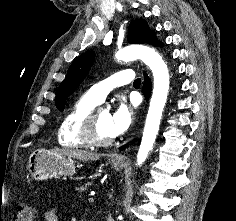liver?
<instances>
[{"mask_svg":"<svg viewBox=\"0 0 236 221\" xmlns=\"http://www.w3.org/2000/svg\"><path fill=\"white\" fill-rule=\"evenodd\" d=\"M50 152L68 156L70 158H75L81 161H96L101 156L100 154L88 152L85 150L69 149V148L52 149Z\"/></svg>","mask_w":236,"mask_h":221,"instance_id":"liver-1","label":"liver"}]
</instances>
